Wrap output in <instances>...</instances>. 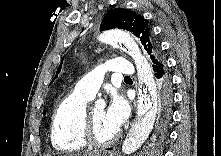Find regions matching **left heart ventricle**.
<instances>
[{
    "mask_svg": "<svg viewBox=\"0 0 221 156\" xmlns=\"http://www.w3.org/2000/svg\"><path fill=\"white\" fill-rule=\"evenodd\" d=\"M90 115L93 121L94 132L98 139L105 141L116 134L106 122L104 108H95L90 112Z\"/></svg>",
    "mask_w": 221,
    "mask_h": 156,
    "instance_id": "b2bd125f",
    "label": "left heart ventricle"
}]
</instances>
